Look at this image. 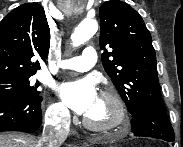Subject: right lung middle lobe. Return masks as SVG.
<instances>
[{
	"label": "right lung middle lobe",
	"mask_w": 183,
	"mask_h": 147,
	"mask_svg": "<svg viewBox=\"0 0 183 147\" xmlns=\"http://www.w3.org/2000/svg\"><path fill=\"white\" fill-rule=\"evenodd\" d=\"M33 75L0 79V97L40 95L37 90L40 84L32 81Z\"/></svg>",
	"instance_id": "obj_1"
}]
</instances>
